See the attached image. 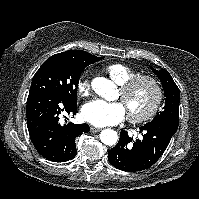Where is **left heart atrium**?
<instances>
[{
  "instance_id": "1",
  "label": "left heart atrium",
  "mask_w": 199,
  "mask_h": 199,
  "mask_svg": "<svg viewBox=\"0 0 199 199\" xmlns=\"http://www.w3.org/2000/svg\"><path fill=\"white\" fill-rule=\"evenodd\" d=\"M81 113L83 119L88 123L103 127L122 121L126 109L121 102H106L96 99L84 104Z\"/></svg>"
}]
</instances>
